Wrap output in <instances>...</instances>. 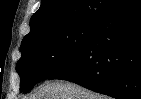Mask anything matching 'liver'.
Instances as JSON below:
<instances>
[{"mask_svg":"<svg viewBox=\"0 0 141 99\" xmlns=\"http://www.w3.org/2000/svg\"><path fill=\"white\" fill-rule=\"evenodd\" d=\"M26 99H108L68 81L46 82Z\"/></svg>","mask_w":141,"mask_h":99,"instance_id":"6515ba94","label":"liver"}]
</instances>
